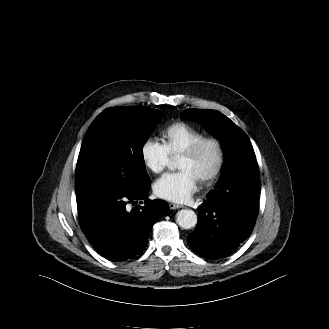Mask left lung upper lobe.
I'll use <instances>...</instances> for the list:
<instances>
[{
    "instance_id": "1",
    "label": "left lung upper lobe",
    "mask_w": 329,
    "mask_h": 329,
    "mask_svg": "<svg viewBox=\"0 0 329 329\" xmlns=\"http://www.w3.org/2000/svg\"><path fill=\"white\" fill-rule=\"evenodd\" d=\"M182 120H194L208 127L225 148V163L216 188L207 195L208 200H221L231 185L257 165L255 153L248 136L228 117L216 110L186 109Z\"/></svg>"
}]
</instances>
